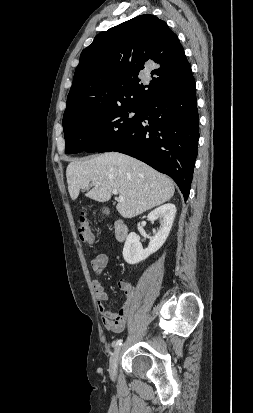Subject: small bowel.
<instances>
[{
	"instance_id": "1",
	"label": "small bowel",
	"mask_w": 253,
	"mask_h": 413,
	"mask_svg": "<svg viewBox=\"0 0 253 413\" xmlns=\"http://www.w3.org/2000/svg\"><path fill=\"white\" fill-rule=\"evenodd\" d=\"M108 264V256L106 254H96L91 260V267L93 271L100 275ZM92 287L96 295L98 310L101 316L102 323L104 327L112 332H121L124 330L126 323L128 321L129 313L132 307V302L134 298V288L133 286L125 280L118 282V287L126 295V301L124 302L122 308L116 313L107 309L104 302L108 300V294L105 291L102 283L99 279H95L92 282Z\"/></svg>"
}]
</instances>
